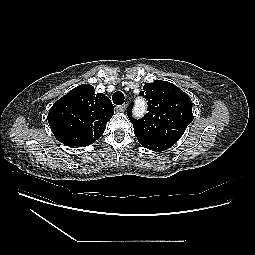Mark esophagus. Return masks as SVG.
Here are the masks:
<instances>
[{"instance_id":"esophagus-1","label":"esophagus","mask_w":255,"mask_h":255,"mask_svg":"<svg viewBox=\"0 0 255 255\" xmlns=\"http://www.w3.org/2000/svg\"><path fill=\"white\" fill-rule=\"evenodd\" d=\"M127 106L124 104V105H121V106H116V110L119 111V112H124L126 110Z\"/></svg>"}]
</instances>
